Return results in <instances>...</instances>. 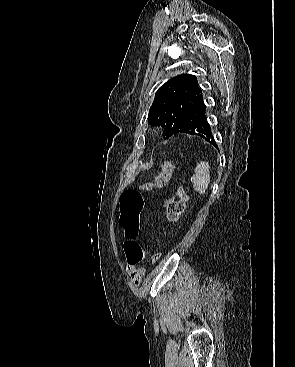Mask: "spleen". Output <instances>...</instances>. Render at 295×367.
Returning <instances> with one entry per match:
<instances>
[{"label": "spleen", "instance_id": "obj_1", "mask_svg": "<svg viewBox=\"0 0 295 367\" xmlns=\"http://www.w3.org/2000/svg\"><path fill=\"white\" fill-rule=\"evenodd\" d=\"M210 166L208 162L201 161L195 168V174L192 177L193 187L200 194H204L210 183Z\"/></svg>", "mask_w": 295, "mask_h": 367}]
</instances>
